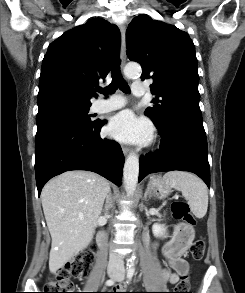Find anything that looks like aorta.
Listing matches in <instances>:
<instances>
[{
	"mask_svg": "<svg viewBox=\"0 0 245 293\" xmlns=\"http://www.w3.org/2000/svg\"><path fill=\"white\" fill-rule=\"evenodd\" d=\"M141 73V67L137 63L127 64L124 68L125 76L132 78ZM139 176V158L135 153H130L124 164L123 180L124 187L128 194H133L136 191ZM130 265H134V261L130 260Z\"/></svg>",
	"mask_w": 245,
	"mask_h": 293,
	"instance_id": "762f6f07",
	"label": "aorta"
}]
</instances>
